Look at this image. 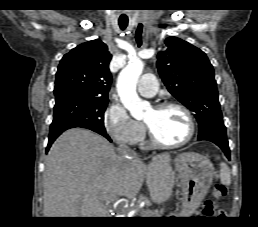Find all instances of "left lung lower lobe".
I'll use <instances>...</instances> for the list:
<instances>
[{
  "mask_svg": "<svg viewBox=\"0 0 258 227\" xmlns=\"http://www.w3.org/2000/svg\"><path fill=\"white\" fill-rule=\"evenodd\" d=\"M200 140H207V141H211V142L215 143L222 149V151L225 153L227 158L230 159V150H229L228 140H227L226 136L210 135V136H206Z\"/></svg>",
  "mask_w": 258,
  "mask_h": 227,
  "instance_id": "0a47b994",
  "label": "left lung lower lobe"
}]
</instances>
